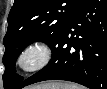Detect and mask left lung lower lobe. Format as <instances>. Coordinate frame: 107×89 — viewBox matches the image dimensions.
<instances>
[{
	"label": "left lung lower lobe",
	"instance_id": "obj_1",
	"mask_svg": "<svg viewBox=\"0 0 107 89\" xmlns=\"http://www.w3.org/2000/svg\"><path fill=\"white\" fill-rule=\"evenodd\" d=\"M51 62L16 89L67 80L90 89L107 87V0H83L50 45Z\"/></svg>",
	"mask_w": 107,
	"mask_h": 89
}]
</instances>
